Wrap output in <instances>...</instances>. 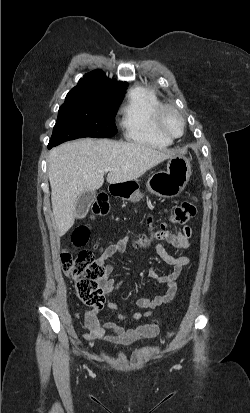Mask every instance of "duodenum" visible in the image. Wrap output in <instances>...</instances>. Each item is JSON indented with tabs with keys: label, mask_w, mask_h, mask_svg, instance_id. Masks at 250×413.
Returning <instances> with one entry per match:
<instances>
[{
	"label": "duodenum",
	"mask_w": 250,
	"mask_h": 413,
	"mask_svg": "<svg viewBox=\"0 0 250 413\" xmlns=\"http://www.w3.org/2000/svg\"><path fill=\"white\" fill-rule=\"evenodd\" d=\"M121 184L113 185L110 189L112 195H119Z\"/></svg>",
	"instance_id": "obj_1"
}]
</instances>
